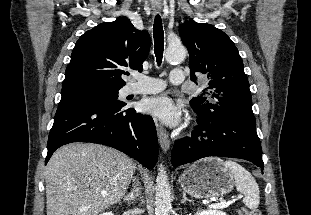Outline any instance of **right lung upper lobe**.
Returning <instances> with one entry per match:
<instances>
[{
  "label": "right lung upper lobe",
  "instance_id": "cb5924a9",
  "mask_svg": "<svg viewBox=\"0 0 311 215\" xmlns=\"http://www.w3.org/2000/svg\"><path fill=\"white\" fill-rule=\"evenodd\" d=\"M149 49V34L136 29L127 17L101 23L76 42L62 86L94 83L121 88L124 69L142 71Z\"/></svg>",
  "mask_w": 311,
  "mask_h": 215
}]
</instances>
